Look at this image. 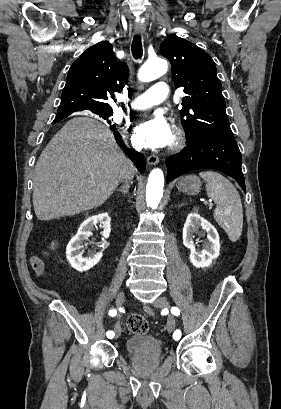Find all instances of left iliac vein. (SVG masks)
Returning <instances> with one entry per match:
<instances>
[{"instance_id": "1", "label": "left iliac vein", "mask_w": 281, "mask_h": 409, "mask_svg": "<svg viewBox=\"0 0 281 409\" xmlns=\"http://www.w3.org/2000/svg\"><path fill=\"white\" fill-rule=\"evenodd\" d=\"M153 306L156 308L163 309L165 311H168V308L170 307L169 302L165 298H157L153 302ZM175 328V319L174 316L169 314L168 319H167V331L171 333Z\"/></svg>"}]
</instances>
